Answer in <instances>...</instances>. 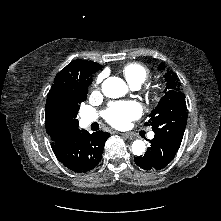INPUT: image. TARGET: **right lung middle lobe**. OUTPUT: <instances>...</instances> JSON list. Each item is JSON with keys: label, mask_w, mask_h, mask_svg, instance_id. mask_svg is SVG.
Returning a JSON list of instances; mask_svg holds the SVG:
<instances>
[{"label": "right lung middle lobe", "mask_w": 221, "mask_h": 221, "mask_svg": "<svg viewBox=\"0 0 221 221\" xmlns=\"http://www.w3.org/2000/svg\"><path fill=\"white\" fill-rule=\"evenodd\" d=\"M88 92H80L70 97L67 102L60 106L54 107L48 113V119L58 127H75L78 126L76 119L79 105L86 100Z\"/></svg>", "instance_id": "1"}]
</instances>
